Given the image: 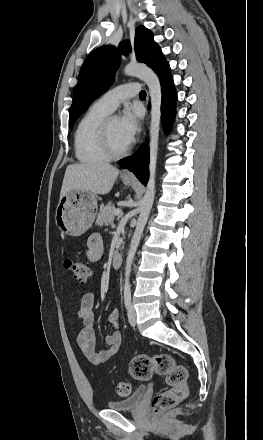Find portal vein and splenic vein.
Wrapping results in <instances>:
<instances>
[{"mask_svg": "<svg viewBox=\"0 0 263 440\" xmlns=\"http://www.w3.org/2000/svg\"><path fill=\"white\" fill-rule=\"evenodd\" d=\"M121 214V210L120 209H117L116 211H115V215H120Z\"/></svg>", "mask_w": 263, "mask_h": 440, "instance_id": "obj_1", "label": "portal vein and splenic vein"}]
</instances>
